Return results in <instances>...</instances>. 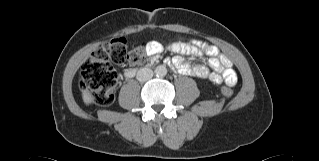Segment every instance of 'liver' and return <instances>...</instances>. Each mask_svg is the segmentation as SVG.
<instances>
[{"label": "liver", "mask_w": 319, "mask_h": 161, "mask_svg": "<svg viewBox=\"0 0 319 161\" xmlns=\"http://www.w3.org/2000/svg\"><path fill=\"white\" fill-rule=\"evenodd\" d=\"M82 98L83 101L86 105L91 104L94 101V97L92 96V94L90 92H88L87 90H83L82 92Z\"/></svg>", "instance_id": "6515ba94"}]
</instances>
